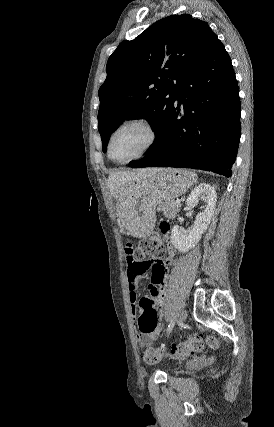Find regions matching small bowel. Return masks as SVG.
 Wrapping results in <instances>:
<instances>
[{
    "mask_svg": "<svg viewBox=\"0 0 274 427\" xmlns=\"http://www.w3.org/2000/svg\"><path fill=\"white\" fill-rule=\"evenodd\" d=\"M124 250L127 252L124 256L127 262H134L137 259L134 253H130L133 250L132 245H125ZM173 259L174 253L169 251L164 260L158 261L160 264H130L128 266L126 275L128 277L129 300L133 312H135L138 299L137 283L140 278H150L149 285L146 287L147 293L139 295V308L150 311H139L135 322L136 326L140 327L143 332V335L136 337L137 342L142 346L156 340L160 332L165 330L163 303L168 291L166 274L167 267L171 265Z\"/></svg>",
    "mask_w": 274,
    "mask_h": 427,
    "instance_id": "1",
    "label": "small bowel"
}]
</instances>
